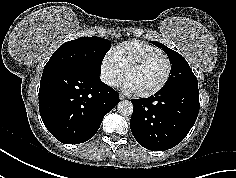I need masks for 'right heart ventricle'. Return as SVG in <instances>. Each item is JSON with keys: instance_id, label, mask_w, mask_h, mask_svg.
Returning <instances> with one entry per match:
<instances>
[{"instance_id": "1", "label": "right heart ventricle", "mask_w": 236, "mask_h": 178, "mask_svg": "<svg viewBox=\"0 0 236 178\" xmlns=\"http://www.w3.org/2000/svg\"><path fill=\"white\" fill-rule=\"evenodd\" d=\"M158 52H161V50L155 46L139 40H131L119 43L110 53L118 65L124 70L133 60Z\"/></svg>"}]
</instances>
